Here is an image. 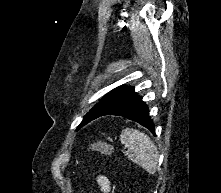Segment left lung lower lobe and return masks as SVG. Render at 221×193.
I'll use <instances>...</instances> for the list:
<instances>
[{
  "instance_id": "1",
  "label": "left lung lower lobe",
  "mask_w": 221,
  "mask_h": 193,
  "mask_svg": "<svg viewBox=\"0 0 221 193\" xmlns=\"http://www.w3.org/2000/svg\"><path fill=\"white\" fill-rule=\"evenodd\" d=\"M148 113L147 105L142 101V97L134 92V87H126L100 116H122L136 121L155 134L154 124Z\"/></svg>"
}]
</instances>
